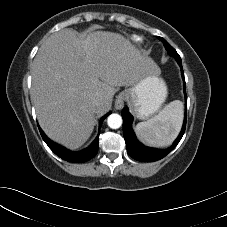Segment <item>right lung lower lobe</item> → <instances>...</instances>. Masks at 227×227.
<instances>
[{
    "instance_id": "1",
    "label": "right lung lower lobe",
    "mask_w": 227,
    "mask_h": 227,
    "mask_svg": "<svg viewBox=\"0 0 227 227\" xmlns=\"http://www.w3.org/2000/svg\"><path fill=\"white\" fill-rule=\"evenodd\" d=\"M111 112L107 113L105 116H103L100 120L99 123V129L102 125L103 120L110 115ZM41 136L43 140L46 142L48 147L60 158L63 160H66L68 162H76V163H82L90 160L93 158L97 152H98V141H99V133L96 139L91 143L89 147L86 149L79 151V152H72L56 143L51 141L45 134L44 132L39 128Z\"/></svg>"
}]
</instances>
